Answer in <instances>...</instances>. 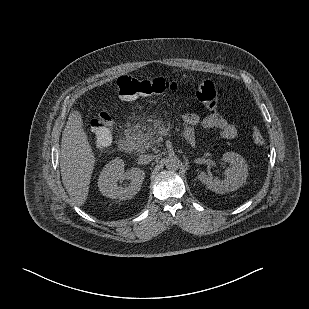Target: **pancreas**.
Here are the masks:
<instances>
[{
	"mask_svg": "<svg viewBox=\"0 0 309 309\" xmlns=\"http://www.w3.org/2000/svg\"><path fill=\"white\" fill-rule=\"evenodd\" d=\"M134 137L139 151H145L149 148L155 150L162 142V136L153 130L137 131Z\"/></svg>",
	"mask_w": 309,
	"mask_h": 309,
	"instance_id": "pancreas-1",
	"label": "pancreas"
}]
</instances>
